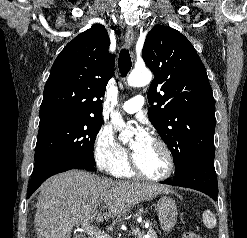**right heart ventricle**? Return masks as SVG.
I'll use <instances>...</instances> for the list:
<instances>
[{"mask_svg": "<svg viewBox=\"0 0 247 238\" xmlns=\"http://www.w3.org/2000/svg\"><path fill=\"white\" fill-rule=\"evenodd\" d=\"M113 174L117 177L129 178L133 176V172L130 168L129 163H125L122 166L118 167Z\"/></svg>", "mask_w": 247, "mask_h": 238, "instance_id": "e07e8e85", "label": "right heart ventricle"}]
</instances>
